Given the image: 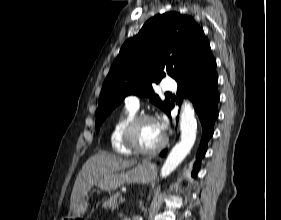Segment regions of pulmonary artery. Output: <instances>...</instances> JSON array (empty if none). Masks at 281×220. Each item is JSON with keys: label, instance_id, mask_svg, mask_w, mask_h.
I'll use <instances>...</instances> for the list:
<instances>
[{"label": "pulmonary artery", "instance_id": "obj_1", "mask_svg": "<svg viewBox=\"0 0 281 220\" xmlns=\"http://www.w3.org/2000/svg\"><path fill=\"white\" fill-rule=\"evenodd\" d=\"M162 89L164 91H175L177 88V84L174 80L172 79H166L162 82ZM126 106L134 109V110H138L140 107V100L137 96L131 95L128 96L125 100Z\"/></svg>", "mask_w": 281, "mask_h": 220}]
</instances>
